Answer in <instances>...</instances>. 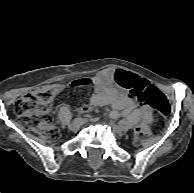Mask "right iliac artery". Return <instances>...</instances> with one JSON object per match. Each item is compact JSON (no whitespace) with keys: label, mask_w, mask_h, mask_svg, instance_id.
<instances>
[{"label":"right iliac artery","mask_w":194,"mask_h":193,"mask_svg":"<svg viewBox=\"0 0 194 193\" xmlns=\"http://www.w3.org/2000/svg\"><path fill=\"white\" fill-rule=\"evenodd\" d=\"M74 121H75V122L82 121V118H81V117L75 118Z\"/></svg>","instance_id":"right-iliac-artery-1"}]
</instances>
